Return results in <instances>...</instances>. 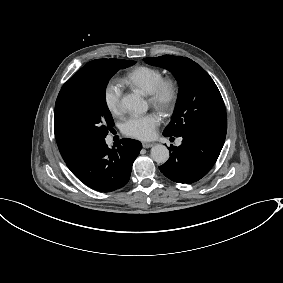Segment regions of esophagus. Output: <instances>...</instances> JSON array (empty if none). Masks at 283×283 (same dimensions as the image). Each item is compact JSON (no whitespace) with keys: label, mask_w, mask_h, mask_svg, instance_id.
<instances>
[{"label":"esophagus","mask_w":283,"mask_h":283,"mask_svg":"<svg viewBox=\"0 0 283 283\" xmlns=\"http://www.w3.org/2000/svg\"><path fill=\"white\" fill-rule=\"evenodd\" d=\"M154 145L155 143H146V142L142 143L143 148H151Z\"/></svg>","instance_id":"obj_1"}]
</instances>
